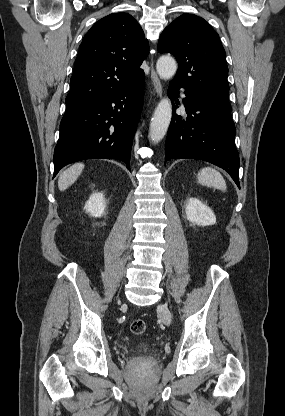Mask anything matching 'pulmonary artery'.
Returning <instances> with one entry per match:
<instances>
[{
	"instance_id": "1",
	"label": "pulmonary artery",
	"mask_w": 285,
	"mask_h": 416,
	"mask_svg": "<svg viewBox=\"0 0 285 416\" xmlns=\"http://www.w3.org/2000/svg\"><path fill=\"white\" fill-rule=\"evenodd\" d=\"M185 97H186V95H185V93L182 91V92H181V98H182V100H183V101H184ZM183 107H184V104H183Z\"/></svg>"
}]
</instances>
